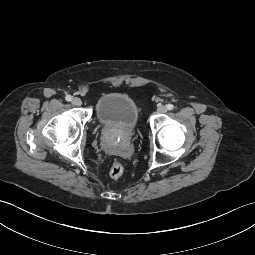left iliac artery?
<instances>
[{"label":"left iliac artery","mask_w":255,"mask_h":255,"mask_svg":"<svg viewBox=\"0 0 255 255\" xmlns=\"http://www.w3.org/2000/svg\"><path fill=\"white\" fill-rule=\"evenodd\" d=\"M173 108H174V106H173L172 104H168V105H167V109H168V110H173Z\"/></svg>","instance_id":"44dca946"}]
</instances>
